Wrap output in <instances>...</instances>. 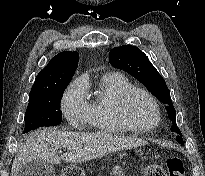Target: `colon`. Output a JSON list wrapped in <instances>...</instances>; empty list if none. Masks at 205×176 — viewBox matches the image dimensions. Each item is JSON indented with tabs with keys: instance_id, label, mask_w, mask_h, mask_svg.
Returning a JSON list of instances; mask_svg holds the SVG:
<instances>
[{
	"instance_id": "colon-1",
	"label": "colon",
	"mask_w": 205,
	"mask_h": 176,
	"mask_svg": "<svg viewBox=\"0 0 205 176\" xmlns=\"http://www.w3.org/2000/svg\"><path fill=\"white\" fill-rule=\"evenodd\" d=\"M166 166L167 170L164 171L158 165H150L145 169V176H184V167L179 158L169 157L166 160ZM114 172L119 174V167L116 166ZM61 176H83V172L76 165H67L63 167Z\"/></svg>"
}]
</instances>
